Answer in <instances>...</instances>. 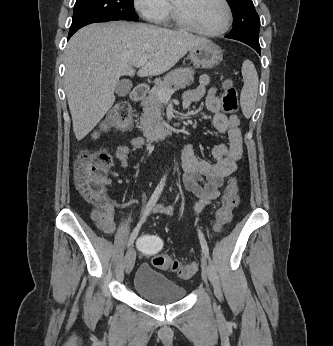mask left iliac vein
<instances>
[{
  "label": "left iliac vein",
  "mask_w": 333,
  "mask_h": 346,
  "mask_svg": "<svg viewBox=\"0 0 333 346\" xmlns=\"http://www.w3.org/2000/svg\"><path fill=\"white\" fill-rule=\"evenodd\" d=\"M201 269H202V277L205 281H207L208 273H209V266H208L206 258L203 255L201 257ZM214 307L216 310L218 309L216 304H214Z\"/></svg>",
  "instance_id": "1"
}]
</instances>
